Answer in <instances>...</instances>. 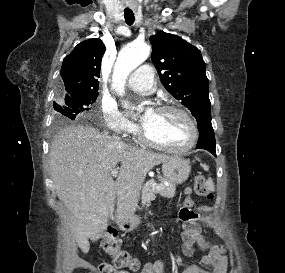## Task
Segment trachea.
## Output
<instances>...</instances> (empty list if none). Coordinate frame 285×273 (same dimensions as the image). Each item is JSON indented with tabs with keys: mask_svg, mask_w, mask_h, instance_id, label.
I'll use <instances>...</instances> for the list:
<instances>
[{
	"mask_svg": "<svg viewBox=\"0 0 285 273\" xmlns=\"http://www.w3.org/2000/svg\"><path fill=\"white\" fill-rule=\"evenodd\" d=\"M124 18L128 25H132L134 23L135 17L133 12H124Z\"/></svg>",
	"mask_w": 285,
	"mask_h": 273,
	"instance_id": "obj_1",
	"label": "trachea"
}]
</instances>
